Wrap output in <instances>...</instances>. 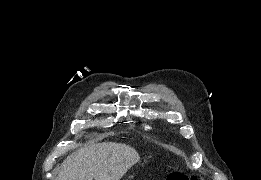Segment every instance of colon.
Here are the masks:
<instances>
[{
	"instance_id": "5ec220e1",
	"label": "colon",
	"mask_w": 261,
	"mask_h": 180,
	"mask_svg": "<svg viewBox=\"0 0 261 180\" xmlns=\"http://www.w3.org/2000/svg\"><path fill=\"white\" fill-rule=\"evenodd\" d=\"M166 180H196V177L188 173L171 172L166 176Z\"/></svg>"
}]
</instances>
